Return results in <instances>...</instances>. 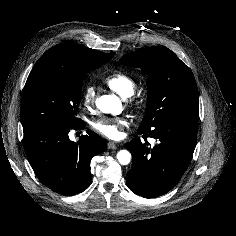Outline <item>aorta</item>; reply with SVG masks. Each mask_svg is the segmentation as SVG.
Wrapping results in <instances>:
<instances>
[{
    "instance_id": "762f6f07",
    "label": "aorta",
    "mask_w": 236,
    "mask_h": 236,
    "mask_svg": "<svg viewBox=\"0 0 236 236\" xmlns=\"http://www.w3.org/2000/svg\"><path fill=\"white\" fill-rule=\"evenodd\" d=\"M96 105L103 113L117 115L122 111V104L116 95H103L98 98ZM117 159L120 164L127 165L130 162L131 154L128 150H120L117 153Z\"/></svg>"
}]
</instances>
